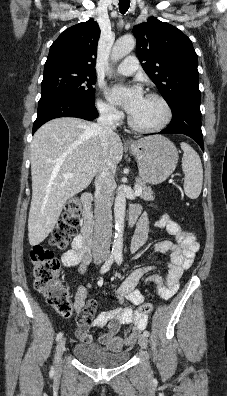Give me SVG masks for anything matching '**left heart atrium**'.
<instances>
[{"label": "left heart atrium", "mask_w": 227, "mask_h": 396, "mask_svg": "<svg viewBox=\"0 0 227 396\" xmlns=\"http://www.w3.org/2000/svg\"><path fill=\"white\" fill-rule=\"evenodd\" d=\"M108 98L117 104L122 105L125 110L132 114L142 103L144 94L139 86L116 85L108 92Z\"/></svg>", "instance_id": "39dd6f15"}]
</instances>
